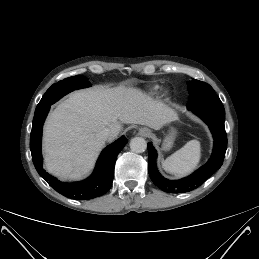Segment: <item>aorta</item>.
<instances>
[{"label":"aorta","instance_id":"aorta-1","mask_svg":"<svg viewBox=\"0 0 259 259\" xmlns=\"http://www.w3.org/2000/svg\"><path fill=\"white\" fill-rule=\"evenodd\" d=\"M130 149L135 153H143L147 149V142L142 137H134L130 141Z\"/></svg>","mask_w":259,"mask_h":259}]
</instances>
